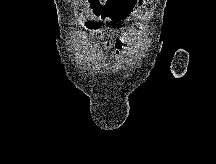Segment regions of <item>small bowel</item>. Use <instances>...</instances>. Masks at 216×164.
Masks as SVG:
<instances>
[{
  "label": "small bowel",
  "instance_id": "1",
  "mask_svg": "<svg viewBox=\"0 0 216 164\" xmlns=\"http://www.w3.org/2000/svg\"><path fill=\"white\" fill-rule=\"evenodd\" d=\"M131 33H132V29L126 30L124 32L123 39L115 44L116 54L121 53V51L124 48V42L128 39V37L131 35ZM105 46L107 48H109L111 46V42L110 41H106L105 42Z\"/></svg>",
  "mask_w": 216,
  "mask_h": 164
}]
</instances>
